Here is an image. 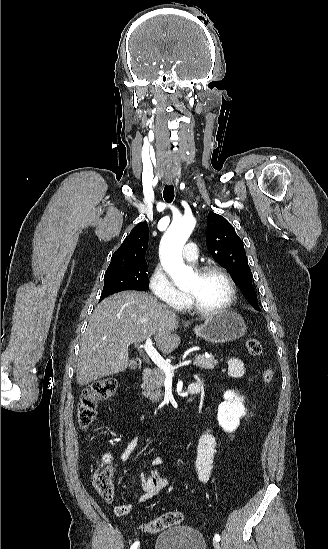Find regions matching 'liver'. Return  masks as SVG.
I'll list each match as a JSON object with an SVG mask.
<instances>
[{"label": "liver", "mask_w": 328, "mask_h": 549, "mask_svg": "<svg viewBox=\"0 0 328 549\" xmlns=\"http://www.w3.org/2000/svg\"><path fill=\"white\" fill-rule=\"evenodd\" d=\"M179 321L156 297L122 291L95 307L79 351L77 385L117 375L129 367L128 347L153 337L165 355L180 345Z\"/></svg>", "instance_id": "6515ba94"}]
</instances>
